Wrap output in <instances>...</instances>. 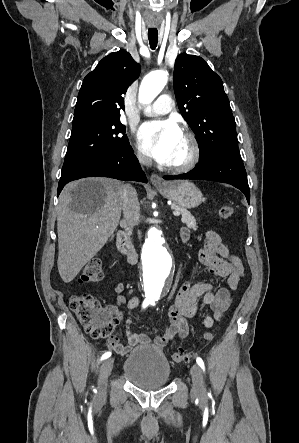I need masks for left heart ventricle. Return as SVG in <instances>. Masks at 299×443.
<instances>
[{
  "instance_id": "b2bd125f",
  "label": "left heart ventricle",
  "mask_w": 299,
  "mask_h": 443,
  "mask_svg": "<svg viewBox=\"0 0 299 443\" xmlns=\"http://www.w3.org/2000/svg\"><path fill=\"white\" fill-rule=\"evenodd\" d=\"M189 154V145L184 136L175 148L174 154L169 164H181L183 163Z\"/></svg>"
}]
</instances>
